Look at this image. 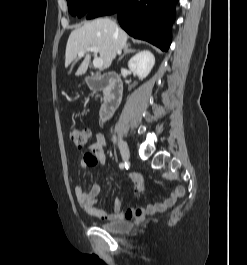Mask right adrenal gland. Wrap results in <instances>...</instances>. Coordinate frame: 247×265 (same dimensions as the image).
Returning a JSON list of instances; mask_svg holds the SVG:
<instances>
[{"instance_id": "2a0ac1e0", "label": "right adrenal gland", "mask_w": 247, "mask_h": 265, "mask_svg": "<svg viewBox=\"0 0 247 265\" xmlns=\"http://www.w3.org/2000/svg\"><path fill=\"white\" fill-rule=\"evenodd\" d=\"M134 52H136V50L132 49V48L130 47V45L125 46V47H124V53H123V55H121V56L119 57L118 61H120L125 55H127V54H129V53H134Z\"/></svg>"}]
</instances>
